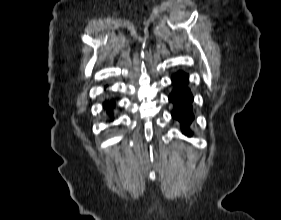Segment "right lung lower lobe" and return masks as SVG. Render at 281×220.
I'll return each mask as SVG.
<instances>
[{
  "instance_id": "1",
  "label": "right lung lower lobe",
  "mask_w": 281,
  "mask_h": 220,
  "mask_svg": "<svg viewBox=\"0 0 281 220\" xmlns=\"http://www.w3.org/2000/svg\"><path fill=\"white\" fill-rule=\"evenodd\" d=\"M113 105H114V102H113ZM107 106H108V102H105L104 107H107Z\"/></svg>"
}]
</instances>
